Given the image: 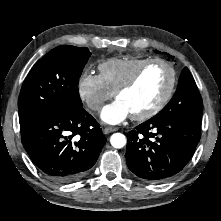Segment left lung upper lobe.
<instances>
[{"mask_svg":"<svg viewBox=\"0 0 221 221\" xmlns=\"http://www.w3.org/2000/svg\"><path fill=\"white\" fill-rule=\"evenodd\" d=\"M160 112L179 115L201 125L203 102L194 78L187 67L182 70L173 98Z\"/></svg>","mask_w":221,"mask_h":221,"instance_id":"obj_1","label":"left lung upper lobe"}]
</instances>
